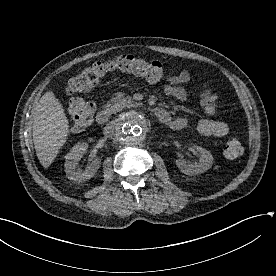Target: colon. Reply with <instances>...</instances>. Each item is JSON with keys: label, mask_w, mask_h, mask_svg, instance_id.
I'll use <instances>...</instances> for the list:
<instances>
[{"label": "colon", "mask_w": 276, "mask_h": 276, "mask_svg": "<svg viewBox=\"0 0 276 276\" xmlns=\"http://www.w3.org/2000/svg\"><path fill=\"white\" fill-rule=\"evenodd\" d=\"M115 71L127 72L140 76L150 82H160L166 77L164 65L158 61H150L133 55H122L111 60L98 61L86 67L80 74L72 78L67 85V93L72 96L69 102V115L74 129H83L93 121L94 104L75 95L91 90L103 77ZM203 105L216 109V98L210 89L202 92ZM243 145L238 138L229 139L224 147V155L234 159L243 153Z\"/></svg>", "instance_id": "colon-1"}]
</instances>
